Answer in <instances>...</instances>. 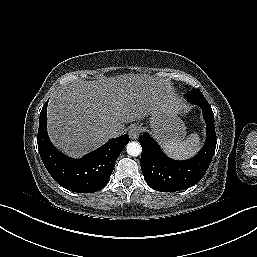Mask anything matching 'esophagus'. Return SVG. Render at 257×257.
Returning <instances> with one entry per match:
<instances>
[{
  "mask_svg": "<svg viewBox=\"0 0 257 257\" xmlns=\"http://www.w3.org/2000/svg\"><path fill=\"white\" fill-rule=\"evenodd\" d=\"M141 129L138 125L131 126L129 136L132 140H136L140 135Z\"/></svg>",
  "mask_w": 257,
  "mask_h": 257,
  "instance_id": "34e87169",
  "label": "esophagus"
}]
</instances>
